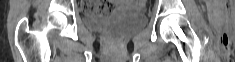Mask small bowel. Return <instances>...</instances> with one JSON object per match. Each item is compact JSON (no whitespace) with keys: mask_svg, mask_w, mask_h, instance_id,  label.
I'll return each instance as SVG.
<instances>
[{"mask_svg":"<svg viewBox=\"0 0 235 62\" xmlns=\"http://www.w3.org/2000/svg\"><path fill=\"white\" fill-rule=\"evenodd\" d=\"M89 8L97 9L100 7L102 12L101 14L111 13L115 9V5L113 3H103V2H93L88 4Z\"/></svg>","mask_w":235,"mask_h":62,"instance_id":"1","label":"small bowel"}]
</instances>
